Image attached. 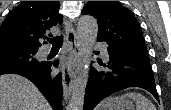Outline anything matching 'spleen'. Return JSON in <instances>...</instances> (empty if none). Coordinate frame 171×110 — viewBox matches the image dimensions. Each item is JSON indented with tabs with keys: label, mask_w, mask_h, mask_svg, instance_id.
<instances>
[{
	"label": "spleen",
	"mask_w": 171,
	"mask_h": 110,
	"mask_svg": "<svg viewBox=\"0 0 171 110\" xmlns=\"http://www.w3.org/2000/svg\"><path fill=\"white\" fill-rule=\"evenodd\" d=\"M129 97L136 103V110H156V107L154 104L143 94L137 93V92H130L126 93L125 95L119 97V98H126ZM111 104L112 100L108 99L102 102L98 106V110H111Z\"/></svg>",
	"instance_id": "1"
}]
</instances>
